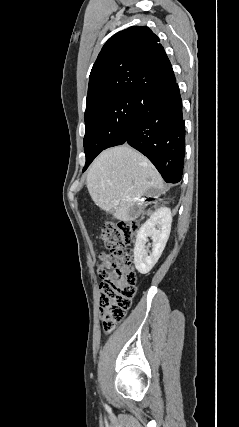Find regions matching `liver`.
Listing matches in <instances>:
<instances>
[{
	"instance_id": "liver-1",
	"label": "liver",
	"mask_w": 239,
	"mask_h": 427,
	"mask_svg": "<svg viewBox=\"0 0 239 427\" xmlns=\"http://www.w3.org/2000/svg\"><path fill=\"white\" fill-rule=\"evenodd\" d=\"M87 188L101 209L127 222L141 212V198L161 193L164 182L147 158L125 144L103 151L93 161Z\"/></svg>"
}]
</instances>
